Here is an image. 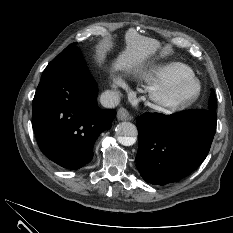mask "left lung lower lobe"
<instances>
[{"instance_id":"1","label":"left lung lower lobe","mask_w":233,"mask_h":233,"mask_svg":"<svg viewBox=\"0 0 233 233\" xmlns=\"http://www.w3.org/2000/svg\"><path fill=\"white\" fill-rule=\"evenodd\" d=\"M216 123V112L200 109L139 116L136 167L142 178L162 186L189 175L205 160Z\"/></svg>"}]
</instances>
